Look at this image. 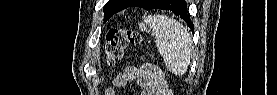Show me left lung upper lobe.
<instances>
[{
	"label": "left lung upper lobe",
	"mask_w": 277,
	"mask_h": 95,
	"mask_svg": "<svg viewBox=\"0 0 277 95\" xmlns=\"http://www.w3.org/2000/svg\"><path fill=\"white\" fill-rule=\"evenodd\" d=\"M134 0H109L104 6V22H106L115 13L127 8ZM148 9L157 8L164 0H150ZM181 0H176V5H179Z\"/></svg>",
	"instance_id": "left-lung-upper-lobe-1"
}]
</instances>
